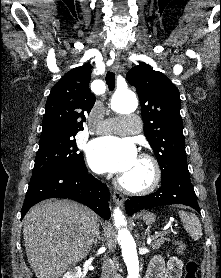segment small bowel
<instances>
[{"label": "small bowel", "mask_w": 221, "mask_h": 278, "mask_svg": "<svg viewBox=\"0 0 221 278\" xmlns=\"http://www.w3.org/2000/svg\"><path fill=\"white\" fill-rule=\"evenodd\" d=\"M183 263L177 257H171L165 261L162 257L156 256L151 261L145 278H180Z\"/></svg>", "instance_id": "c3829d8e"}]
</instances>
